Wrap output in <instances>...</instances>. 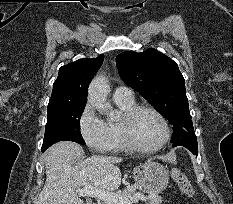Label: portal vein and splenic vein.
Masks as SVG:
<instances>
[{"label":"portal vein and splenic vein","mask_w":233,"mask_h":204,"mask_svg":"<svg viewBox=\"0 0 233 204\" xmlns=\"http://www.w3.org/2000/svg\"><path fill=\"white\" fill-rule=\"evenodd\" d=\"M76 193H78L82 197L88 196L97 198L105 202L106 204H133L138 202L139 200H146L145 196L139 193L128 198L121 194H115L101 189H96L89 184L84 185V187L81 189H76Z\"/></svg>","instance_id":"18ae733b"}]
</instances>
